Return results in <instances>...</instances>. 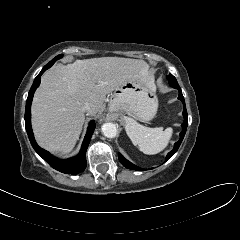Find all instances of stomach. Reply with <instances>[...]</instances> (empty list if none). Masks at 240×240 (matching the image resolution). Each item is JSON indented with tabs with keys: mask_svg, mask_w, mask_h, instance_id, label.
Wrapping results in <instances>:
<instances>
[{
	"mask_svg": "<svg viewBox=\"0 0 240 240\" xmlns=\"http://www.w3.org/2000/svg\"><path fill=\"white\" fill-rule=\"evenodd\" d=\"M109 109L131 115L147 122L154 118L158 109L155 85L148 80L132 79L111 94Z\"/></svg>",
	"mask_w": 240,
	"mask_h": 240,
	"instance_id": "stomach-1",
	"label": "stomach"
}]
</instances>
